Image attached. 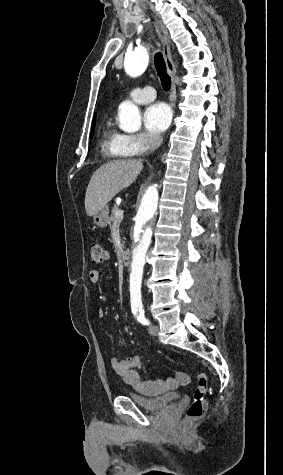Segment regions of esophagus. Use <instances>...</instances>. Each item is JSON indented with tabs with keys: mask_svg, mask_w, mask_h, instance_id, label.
Wrapping results in <instances>:
<instances>
[{
	"mask_svg": "<svg viewBox=\"0 0 283 475\" xmlns=\"http://www.w3.org/2000/svg\"><path fill=\"white\" fill-rule=\"evenodd\" d=\"M155 24H156L157 34L162 43L163 55L166 62L167 71L172 78L171 93L173 97L171 98V100L173 102L176 96V68L171 57L170 37L168 35L166 27L156 17H155Z\"/></svg>",
	"mask_w": 283,
	"mask_h": 475,
	"instance_id": "obj_1",
	"label": "esophagus"
}]
</instances>
